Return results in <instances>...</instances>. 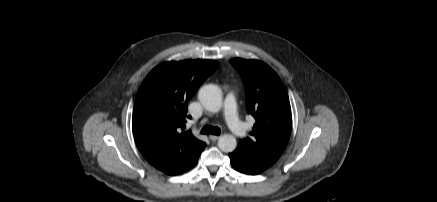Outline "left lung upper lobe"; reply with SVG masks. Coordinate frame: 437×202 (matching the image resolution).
Listing matches in <instances>:
<instances>
[{"mask_svg": "<svg viewBox=\"0 0 437 202\" xmlns=\"http://www.w3.org/2000/svg\"><path fill=\"white\" fill-rule=\"evenodd\" d=\"M245 85L248 113L255 119L251 138L240 140L237 148L272 166L284 152L291 133V108L286 89L272 68L258 60L234 58Z\"/></svg>", "mask_w": 437, "mask_h": 202, "instance_id": "1", "label": "left lung upper lobe"}]
</instances>
